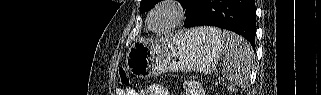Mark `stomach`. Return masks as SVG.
<instances>
[{
    "label": "stomach",
    "instance_id": "1",
    "mask_svg": "<svg viewBox=\"0 0 321 95\" xmlns=\"http://www.w3.org/2000/svg\"><path fill=\"white\" fill-rule=\"evenodd\" d=\"M223 53V43L192 29L155 41H136L128 50L126 65L139 77L167 71L211 73Z\"/></svg>",
    "mask_w": 321,
    "mask_h": 95
}]
</instances>
